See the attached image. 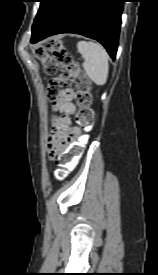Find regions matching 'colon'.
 Returning a JSON list of instances; mask_svg holds the SVG:
<instances>
[{
  "instance_id": "obj_1",
  "label": "colon",
  "mask_w": 158,
  "mask_h": 275,
  "mask_svg": "<svg viewBox=\"0 0 158 275\" xmlns=\"http://www.w3.org/2000/svg\"><path fill=\"white\" fill-rule=\"evenodd\" d=\"M33 53L42 62L45 72L54 76L47 87L49 98L55 101L68 89L72 91L78 107L76 123L82 131L90 132L94 125L92 84L66 50L64 41L60 38H50L45 48L35 46ZM84 143V140L75 141L66 151L60 153L54 172L57 178L64 177L66 172L75 166L82 155Z\"/></svg>"
}]
</instances>
